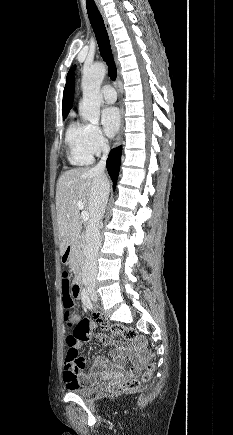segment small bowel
I'll return each instance as SVG.
<instances>
[{
	"mask_svg": "<svg viewBox=\"0 0 233 435\" xmlns=\"http://www.w3.org/2000/svg\"><path fill=\"white\" fill-rule=\"evenodd\" d=\"M61 293L62 295L74 294L73 285L64 283L61 279ZM82 300V295L81 298ZM83 302V301H82ZM94 317L99 319L104 333L92 335V330L95 328L96 323L89 318H79L78 323L74 327L72 333L67 337L68 339H73L77 343L79 348L82 344L89 341L93 337L96 341L100 342L104 346L113 347L110 356L113 359L119 360L127 356L130 352L134 353V358L132 359V366L126 371L129 376H138L142 373L146 363L143 359V355L146 353V348L142 344V340L137 338L131 343V350H126L121 345L115 342V340L106 334L108 330V325L100 319L98 313L94 314ZM86 367L85 362L82 364H76L69 362L67 358L63 361L62 365V382L67 386V388L72 389L77 386L93 382L95 377L99 374L107 375L110 372L118 370L119 374H124L125 371L120 365H112L106 357H95L89 364V373L84 374L83 370Z\"/></svg>",
	"mask_w": 233,
	"mask_h": 435,
	"instance_id": "1",
	"label": "small bowel"
}]
</instances>
